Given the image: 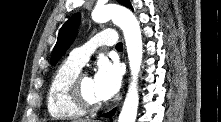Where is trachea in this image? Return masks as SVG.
<instances>
[{
  "label": "trachea",
  "mask_w": 221,
  "mask_h": 122,
  "mask_svg": "<svg viewBox=\"0 0 221 122\" xmlns=\"http://www.w3.org/2000/svg\"><path fill=\"white\" fill-rule=\"evenodd\" d=\"M122 48H123L122 42H119V43L116 45V49H122Z\"/></svg>",
  "instance_id": "1"
}]
</instances>
